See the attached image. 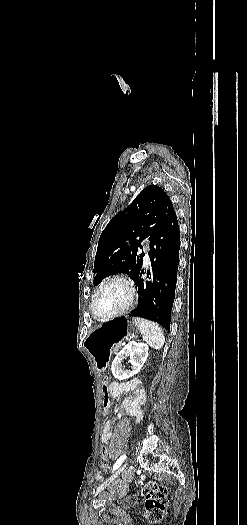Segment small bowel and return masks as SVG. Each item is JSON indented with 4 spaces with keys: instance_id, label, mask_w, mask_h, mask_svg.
Returning <instances> with one entry per match:
<instances>
[{
    "instance_id": "1",
    "label": "small bowel",
    "mask_w": 247,
    "mask_h": 525,
    "mask_svg": "<svg viewBox=\"0 0 247 525\" xmlns=\"http://www.w3.org/2000/svg\"><path fill=\"white\" fill-rule=\"evenodd\" d=\"M125 391L124 387L118 383H115L114 387H110L109 399H115L119 397ZM145 399V393L143 386L137 381L133 386L131 392L123 399L120 405V410L117 415V419L121 420L125 414H134L140 404ZM113 435V424L110 420H106L103 424L101 441L103 444H108ZM110 457L113 460H117L119 457V450L117 447H114L110 451ZM95 478L97 481L101 482L103 480V475L100 471L96 472Z\"/></svg>"
}]
</instances>
